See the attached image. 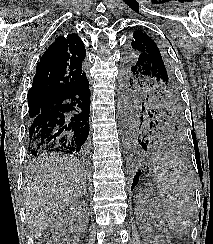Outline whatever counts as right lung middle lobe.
Returning <instances> with one entry per match:
<instances>
[{"mask_svg": "<svg viewBox=\"0 0 213 244\" xmlns=\"http://www.w3.org/2000/svg\"><path fill=\"white\" fill-rule=\"evenodd\" d=\"M51 96H38V97H33V98H28V104H29V116L31 117L33 110L36 106L37 103H39L40 100H43L45 98H48Z\"/></svg>", "mask_w": 213, "mask_h": 244, "instance_id": "obj_1", "label": "right lung middle lobe"}]
</instances>
